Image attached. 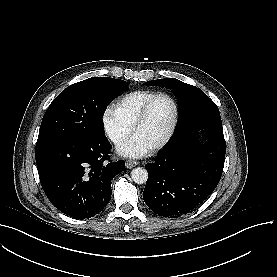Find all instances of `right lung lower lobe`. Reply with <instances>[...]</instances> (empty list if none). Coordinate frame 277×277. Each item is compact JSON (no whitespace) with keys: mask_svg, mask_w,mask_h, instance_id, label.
Segmentation results:
<instances>
[{"mask_svg":"<svg viewBox=\"0 0 277 277\" xmlns=\"http://www.w3.org/2000/svg\"><path fill=\"white\" fill-rule=\"evenodd\" d=\"M112 148L104 136L36 143V164L42 188L63 213L91 218L111 199V180L125 170L122 160L107 162Z\"/></svg>","mask_w":277,"mask_h":277,"instance_id":"right-lung-lower-lobe-1","label":"right lung lower lobe"}]
</instances>
